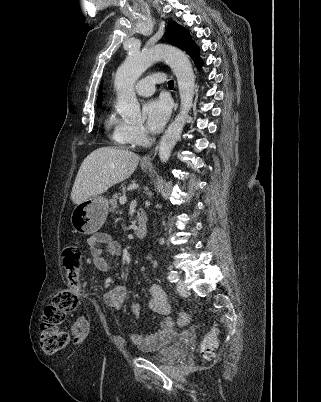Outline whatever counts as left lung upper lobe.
<instances>
[{"label": "left lung upper lobe", "mask_w": 321, "mask_h": 402, "mask_svg": "<svg viewBox=\"0 0 321 402\" xmlns=\"http://www.w3.org/2000/svg\"><path fill=\"white\" fill-rule=\"evenodd\" d=\"M167 41L185 50L188 54L196 47L187 30L175 22H170L166 31Z\"/></svg>", "instance_id": "1"}]
</instances>
